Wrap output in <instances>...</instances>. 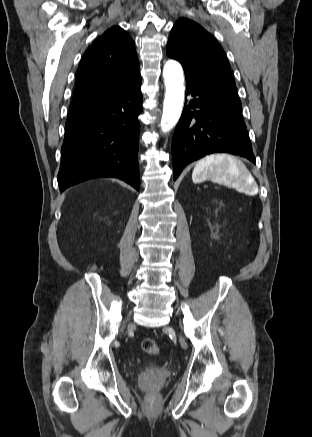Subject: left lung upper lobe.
<instances>
[{
	"mask_svg": "<svg viewBox=\"0 0 312 437\" xmlns=\"http://www.w3.org/2000/svg\"><path fill=\"white\" fill-rule=\"evenodd\" d=\"M167 54L182 64L185 77L221 94L242 111L227 57L216 39L200 25L179 19L171 30Z\"/></svg>",
	"mask_w": 312,
	"mask_h": 437,
	"instance_id": "left-lung-upper-lobe-1",
	"label": "left lung upper lobe"
}]
</instances>
